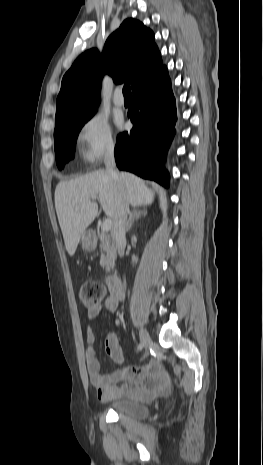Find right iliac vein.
<instances>
[{"label": "right iliac vein", "instance_id": "1", "mask_svg": "<svg viewBox=\"0 0 263 465\" xmlns=\"http://www.w3.org/2000/svg\"><path fill=\"white\" fill-rule=\"evenodd\" d=\"M139 336H140V341H141L142 346L144 348H148V346L151 344V338L147 330L144 328H141L139 331Z\"/></svg>", "mask_w": 263, "mask_h": 465}]
</instances>
